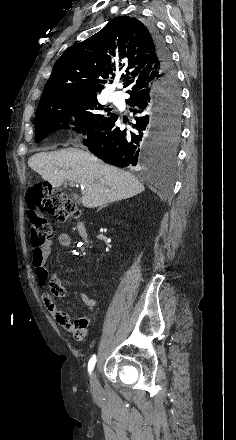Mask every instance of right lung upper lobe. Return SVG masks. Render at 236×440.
<instances>
[{
  "mask_svg": "<svg viewBox=\"0 0 236 440\" xmlns=\"http://www.w3.org/2000/svg\"><path fill=\"white\" fill-rule=\"evenodd\" d=\"M116 76L127 93L160 79V63L147 26L120 16L83 42L70 46L55 63L40 101L53 96L96 94Z\"/></svg>",
  "mask_w": 236,
  "mask_h": 440,
  "instance_id": "1",
  "label": "right lung upper lobe"
}]
</instances>
